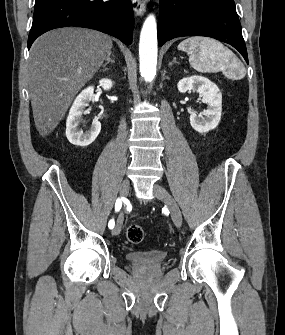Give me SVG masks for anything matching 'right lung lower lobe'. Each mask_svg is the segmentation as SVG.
Returning <instances> with one entry per match:
<instances>
[{"label": "right lung lower lobe", "instance_id": "1", "mask_svg": "<svg viewBox=\"0 0 285 335\" xmlns=\"http://www.w3.org/2000/svg\"><path fill=\"white\" fill-rule=\"evenodd\" d=\"M133 25L130 0H35L28 49L41 34L68 26L96 29L130 45Z\"/></svg>", "mask_w": 285, "mask_h": 335}]
</instances>
